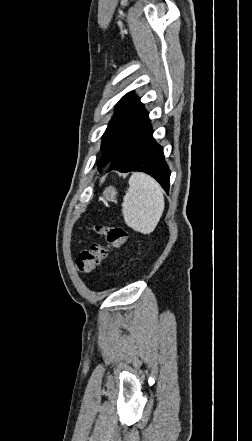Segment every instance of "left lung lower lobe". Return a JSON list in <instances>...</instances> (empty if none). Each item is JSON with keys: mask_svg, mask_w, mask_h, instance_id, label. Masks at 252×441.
Instances as JSON below:
<instances>
[{"mask_svg": "<svg viewBox=\"0 0 252 441\" xmlns=\"http://www.w3.org/2000/svg\"><path fill=\"white\" fill-rule=\"evenodd\" d=\"M141 171L155 178L168 193L170 171L163 149L153 138L148 113L144 109L127 132L118 152L109 164V170Z\"/></svg>", "mask_w": 252, "mask_h": 441, "instance_id": "0a47b994", "label": "left lung lower lobe"}]
</instances>
